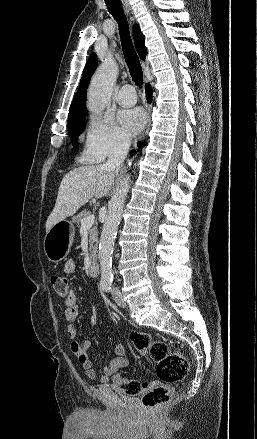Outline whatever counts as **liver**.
Masks as SVG:
<instances>
[{
  "label": "liver",
  "instance_id": "1",
  "mask_svg": "<svg viewBox=\"0 0 257 439\" xmlns=\"http://www.w3.org/2000/svg\"><path fill=\"white\" fill-rule=\"evenodd\" d=\"M115 170L104 165L75 168L62 179L55 207L46 221V232L53 225L74 215L92 198H102L115 179Z\"/></svg>",
  "mask_w": 257,
  "mask_h": 439
}]
</instances>
